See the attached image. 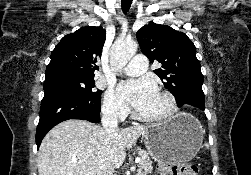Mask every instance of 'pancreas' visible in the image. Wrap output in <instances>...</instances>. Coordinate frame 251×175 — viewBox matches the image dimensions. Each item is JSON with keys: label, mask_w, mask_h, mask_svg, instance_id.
Wrapping results in <instances>:
<instances>
[{"label": "pancreas", "mask_w": 251, "mask_h": 175, "mask_svg": "<svg viewBox=\"0 0 251 175\" xmlns=\"http://www.w3.org/2000/svg\"><path fill=\"white\" fill-rule=\"evenodd\" d=\"M140 155V161L138 163V171L137 175H145V173H151L153 167H152V161L145 149H140L139 151Z\"/></svg>", "instance_id": "obj_1"}]
</instances>
